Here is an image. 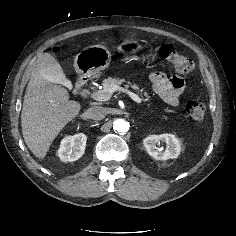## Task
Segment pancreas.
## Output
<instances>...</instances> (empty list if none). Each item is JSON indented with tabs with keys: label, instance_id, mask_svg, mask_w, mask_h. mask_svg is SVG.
<instances>
[{
	"label": "pancreas",
	"instance_id": "1",
	"mask_svg": "<svg viewBox=\"0 0 236 236\" xmlns=\"http://www.w3.org/2000/svg\"><path fill=\"white\" fill-rule=\"evenodd\" d=\"M122 83H126L125 88L131 87L133 90H136L138 94L144 95L146 97V100H150V96H149L148 92H146L144 90V88H140V86L137 84H131V82L126 81L124 78L120 79V78L108 77L107 79H105L103 81V90L102 91L105 94L111 96L114 92L120 91V89H118L117 87L120 88Z\"/></svg>",
	"mask_w": 236,
	"mask_h": 236
}]
</instances>
